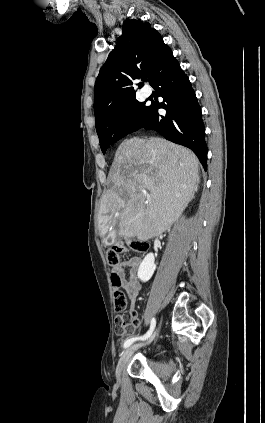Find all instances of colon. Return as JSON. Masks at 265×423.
<instances>
[{
  "label": "colon",
  "mask_w": 265,
  "mask_h": 423,
  "mask_svg": "<svg viewBox=\"0 0 265 423\" xmlns=\"http://www.w3.org/2000/svg\"><path fill=\"white\" fill-rule=\"evenodd\" d=\"M148 244L144 241L129 240L127 242H118L112 246L106 253L107 264L110 266H116L120 263L121 256L126 254L128 249L135 252L146 251ZM113 283L119 284V279L116 275L113 277ZM114 304L115 308L120 315L116 320V333L118 335H124L133 330L135 312L127 310V303L125 295L120 291L116 290L114 293Z\"/></svg>",
  "instance_id": "1"
}]
</instances>
